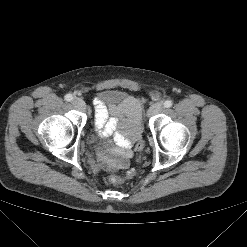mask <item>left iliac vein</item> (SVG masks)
I'll return each instance as SVG.
<instances>
[{
  "mask_svg": "<svg viewBox=\"0 0 247 247\" xmlns=\"http://www.w3.org/2000/svg\"><path fill=\"white\" fill-rule=\"evenodd\" d=\"M162 110H163V105L161 103H155L149 108L148 115L149 116L156 115L160 113Z\"/></svg>",
  "mask_w": 247,
  "mask_h": 247,
  "instance_id": "1",
  "label": "left iliac vein"
}]
</instances>
